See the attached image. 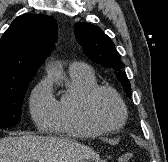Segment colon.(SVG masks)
Here are the masks:
<instances>
[{
  "instance_id": "obj_1",
  "label": "colon",
  "mask_w": 168,
  "mask_h": 162,
  "mask_svg": "<svg viewBox=\"0 0 168 162\" xmlns=\"http://www.w3.org/2000/svg\"><path fill=\"white\" fill-rule=\"evenodd\" d=\"M120 162H133L131 154H123L119 157Z\"/></svg>"
}]
</instances>
